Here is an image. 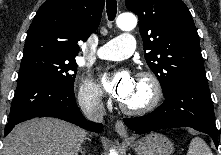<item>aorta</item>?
<instances>
[{"instance_id": "762f6f07", "label": "aorta", "mask_w": 221, "mask_h": 155, "mask_svg": "<svg viewBox=\"0 0 221 155\" xmlns=\"http://www.w3.org/2000/svg\"><path fill=\"white\" fill-rule=\"evenodd\" d=\"M117 26L123 31H131L136 27L137 20L132 14H122L117 18ZM109 155H117L115 150H111Z\"/></svg>"}]
</instances>
